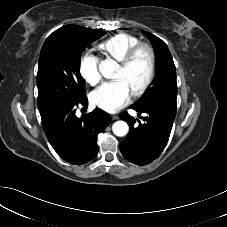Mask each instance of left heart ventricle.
Segmentation results:
<instances>
[{"label": "left heart ventricle", "mask_w": 227, "mask_h": 227, "mask_svg": "<svg viewBox=\"0 0 227 227\" xmlns=\"http://www.w3.org/2000/svg\"><path fill=\"white\" fill-rule=\"evenodd\" d=\"M148 73V57L145 52H141L133 64L122 69L120 66L114 74V79H120L126 83L131 92L140 86Z\"/></svg>", "instance_id": "left-heart-ventricle-1"}]
</instances>
